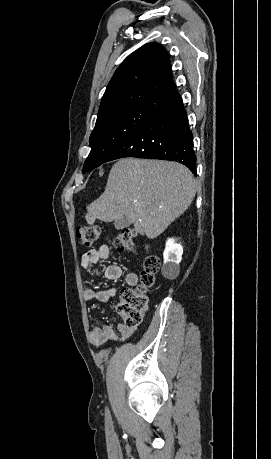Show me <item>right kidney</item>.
Returning a JSON list of instances; mask_svg holds the SVG:
<instances>
[{
    "instance_id": "1",
    "label": "right kidney",
    "mask_w": 271,
    "mask_h": 459,
    "mask_svg": "<svg viewBox=\"0 0 271 459\" xmlns=\"http://www.w3.org/2000/svg\"><path fill=\"white\" fill-rule=\"evenodd\" d=\"M182 253L181 243H175L173 237H168L163 251L164 263L161 267L164 277H169V279L177 277L180 271L179 263L182 259Z\"/></svg>"
}]
</instances>
